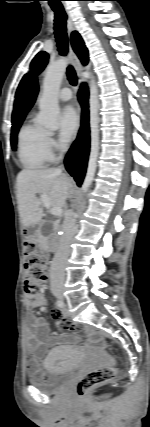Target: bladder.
Returning a JSON list of instances; mask_svg holds the SVG:
<instances>
[{"instance_id":"1","label":"bladder","mask_w":150,"mask_h":427,"mask_svg":"<svg viewBox=\"0 0 150 427\" xmlns=\"http://www.w3.org/2000/svg\"><path fill=\"white\" fill-rule=\"evenodd\" d=\"M74 372V367H48L43 379H32L30 383L45 394H56L66 386Z\"/></svg>"}]
</instances>
